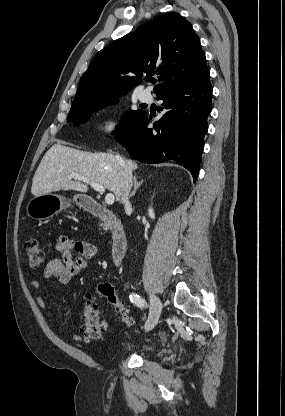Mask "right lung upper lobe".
<instances>
[{
    "mask_svg": "<svg viewBox=\"0 0 285 416\" xmlns=\"http://www.w3.org/2000/svg\"><path fill=\"white\" fill-rule=\"evenodd\" d=\"M145 74L159 75L157 97L209 74L199 37L178 13H164L99 51L80 80L70 111L126 94Z\"/></svg>",
    "mask_w": 285,
    "mask_h": 416,
    "instance_id": "cb5924a9",
    "label": "right lung upper lobe"
}]
</instances>
